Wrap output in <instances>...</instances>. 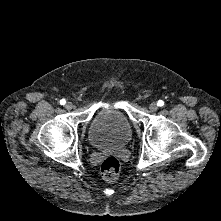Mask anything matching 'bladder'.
Returning a JSON list of instances; mask_svg holds the SVG:
<instances>
[{
  "instance_id": "1",
  "label": "bladder",
  "mask_w": 221,
  "mask_h": 221,
  "mask_svg": "<svg viewBox=\"0 0 221 221\" xmlns=\"http://www.w3.org/2000/svg\"><path fill=\"white\" fill-rule=\"evenodd\" d=\"M132 138L128 119L113 110H103L92 120L88 130L89 142L98 148H121Z\"/></svg>"
}]
</instances>
